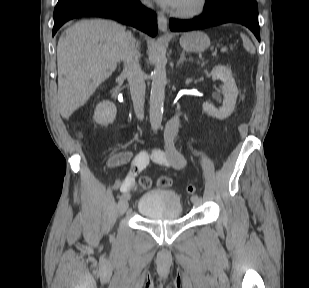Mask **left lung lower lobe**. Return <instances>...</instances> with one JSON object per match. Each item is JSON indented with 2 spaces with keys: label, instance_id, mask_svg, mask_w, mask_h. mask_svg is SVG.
<instances>
[{
  "label": "left lung lower lobe",
  "instance_id": "obj_1",
  "mask_svg": "<svg viewBox=\"0 0 309 288\" xmlns=\"http://www.w3.org/2000/svg\"><path fill=\"white\" fill-rule=\"evenodd\" d=\"M227 22H236L248 27L260 41L258 10L255 0H215L207 2L205 11L192 20H170L172 31H190Z\"/></svg>",
  "mask_w": 309,
  "mask_h": 288
}]
</instances>
